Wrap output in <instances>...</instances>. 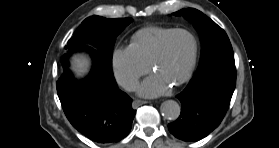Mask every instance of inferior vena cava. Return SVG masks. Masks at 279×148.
Returning a JSON list of instances; mask_svg holds the SVG:
<instances>
[{"mask_svg":"<svg viewBox=\"0 0 279 148\" xmlns=\"http://www.w3.org/2000/svg\"><path fill=\"white\" fill-rule=\"evenodd\" d=\"M118 84L127 91H135L138 87V81L128 77L119 78Z\"/></svg>","mask_w":279,"mask_h":148,"instance_id":"602c4592","label":"inferior vena cava"}]
</instances>
